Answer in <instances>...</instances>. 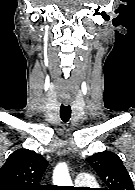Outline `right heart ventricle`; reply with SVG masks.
Returning a JSON list of instances; mask_svg holds the SVG:
<instances>
[{"label":"right heart ventricle","instance_id":"right-heart-ventricle-1","mask_svg":"<svg viewBox=\"0 0 135 190\" xmlns=\"http://www.w3.org/2000/svg\"><path fill=\"white\" fill-rule=\"evenodd\" d=\"M91 185H96V183L93 181V183Z\"/></svg>","mask_w":135,"mask_h":190}]
</instances>
